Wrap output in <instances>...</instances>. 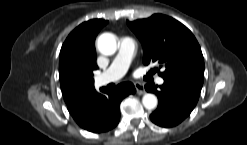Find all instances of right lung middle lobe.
Wrapping results in <instances>:
<instances>
[{"label": "right lung middle lobe", "mask_w": 247, "mask_h": 145, "mask_svg": "<svg viewBox=\"0 0 247 145\" xmlns=\"http://www.w3.org/2000/svg\"><path fill=\"white\" fill-rule=\"evenodd\" d=\"M64 84L70 92H81L94 85L93 73L81 69L70 70L64 78Z\"/></svg>", "instance_id": "obj_1"}]
</instances>
